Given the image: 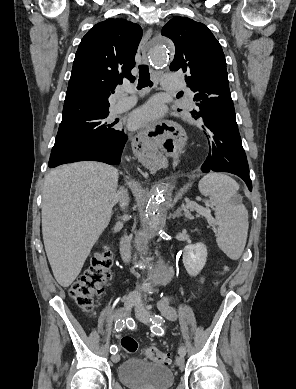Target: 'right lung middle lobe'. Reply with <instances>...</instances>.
<instances>
[{
  "instance_id": "right-lung-middle-lobe-1",
  "label": "right lung middle lobe",
  "mask_w": 296,
  "mask_h": 389,
  "mask_svg": "<svg viewBox=\"0 0 296 389\" xmlns=\"http://www.w3.org/2000/svg\"><path fill=\"white\" fill-rule=\"evenodd\" d=\"M108 114L109 112L76 113L62 117L52 152L117 136L120 130L107 124Z\"/></svg>"
}]
</instances>
